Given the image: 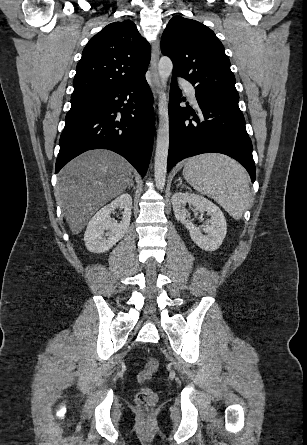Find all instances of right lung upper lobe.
Here are the masks:
<instances>
[{"instance_id":"right-lung-upper-lobe-1","label":"right lung upper lobe","mask_w":307,"mask_h":445,"mask_svg":"<svg viewBox=\"0 0 307 445\" xmlns=\"http://www.w3.org/2000/svg\"><path fill=\"white\" fill-rule=\"evenodd\" d=\"M150 58V45L132 21L107 25L83 50L71 98L127 85L144 77Z\"/></svg>"}]
</instances>
